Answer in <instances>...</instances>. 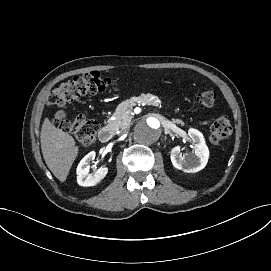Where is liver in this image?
<instances>
[{
  "label": "liver",
  "instance_id": "obj_1",
  "mask_svg": "<svg viewBox=\"0 0 271 271\" xmlns=\"http://www.w3.org/2000/svg\"><path fill=\"white\" fill-rule=\"evenodd\" d=\"M40 142L48 168L57 179L65 181L78 151L73 138L45 119L41 126Z\"/></svg>",
  "mask_w": 271,
  "mask_h": 271
}]
</instances>
